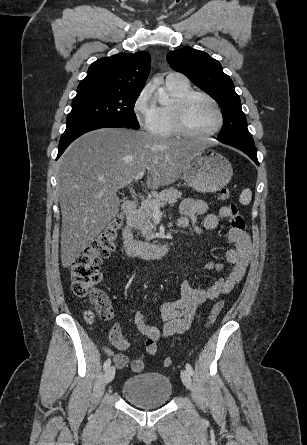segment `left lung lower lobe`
Returning a JSON list of instances; mask_svg holds the SVG:
<instances>
[{
  "mask_svg": "<svg viewBox=\"0 0 307 445\" xmlns=\"http://www.w3.org/2000/svg\"><path fill=\"white\" fill-rule=\"evenodd\" d=\"M220 142L228 144L230 146H233L241 151H243L245 154H247L257 165H259L257 154H256V147L254 145V141H239V140H221L218 139Z\"/></svg>",
  "mask_w": 307,
  "mask_h": 445,
  "instance_id": "obj_1",
  "label": "left lung lower lobe"
}]
</instances>
